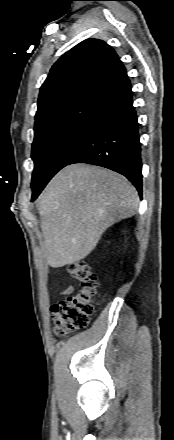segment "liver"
<instances>
[{
	"instance_id": "1",
	"label": "liver",
	"mask_w": 174,
	"mask_h": 440,
	"mask_svg": "<svg viewBox=\"0 0 174 440\" xmlns=\"http://www.w3.org/2000/svg\"><path fill=\"white\" fill-rule=\"evenodd\" d=\"M138 204L124 176L93 165L65 167L38 198L48 264L58 268L84 259L106 229L134 215Z\"/></svg>"
}]
</instances>
